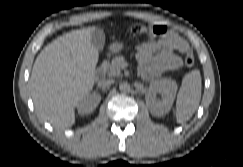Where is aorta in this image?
Returning a JSON list of instances; mask_svg holds the SVG:
<instances>
[{
	"mask_svg": "<svg viewBox=\"0 0 243 167\" xmlns=\"http://www.w3.org/2000/svg\"><path fill=\"white\" fill-rule=\"evenodd\" d=\"M119 90L121 92H128L130 90V85L127 82H123L119 85Z\"/></svg>",
	"mask_w": 243,
	"mask_h": 167,
	"instance_id": "aorta-1",
	"label": "aorta"
}]
</instances>
